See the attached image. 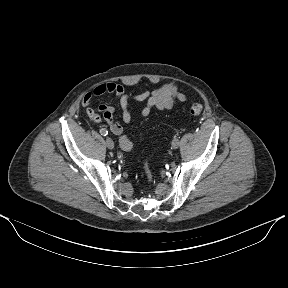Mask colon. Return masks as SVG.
I'll list each match as a JSON object with an SVG mask.
<instances>
[{"label":"colon","mask_w":288,"mask_h":288,"mask_svg":"<svg viewBox=\"0 0 288 288\" xmlns=\"http://www.w3.org/2000/svg\"><path fill=\"white\" fill-rule=\"evenodd\" d=\"M88 112V115L89 117L94 120V121H98L100 119V116L97 112H95L94 110L90 109L87 111ZM189 112L190 114L193 116V117H197L201 114L202 112V105L201 104H198V103H195V104H192L190 109H189ZM120 145L123 149L125 150H131L132 147H133V144L132 142H130L127 137H122L120 139ZM144 168H145V173H146V176L148 178L149 181L152 180V174L150 172V169H149V166H148V163L146 162L145 165H144Z\"/></svg>","instance_id":"obj_1"}]
</instances>
